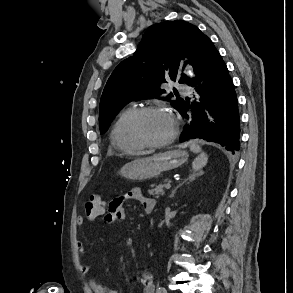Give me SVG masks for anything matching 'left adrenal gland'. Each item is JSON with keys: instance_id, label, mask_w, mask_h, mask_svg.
I'll use <instances>...</instances> for the list:
<instances>
[{"instance_id": "1", "label": "left adrenal gland", "mask_w": 293, "mask_h": 293, "mask_svg": "<svg viewBox=\"0 0 293 293\" xmlns=\"http://www.w3.org/2000/svg\"><path fill=\"white\" fill-rule=\"evenodd\" d=\"M202 174V172H193L192 174L189 175V177L187 179L184 180V183H189L192 182L193 180H195L196 177L200 176ZM180 184L179 186H177L176 188H174L170 194V198L174 197V194L176 193L177 189L182 185Z\"/></svg>"}]
</instances>
